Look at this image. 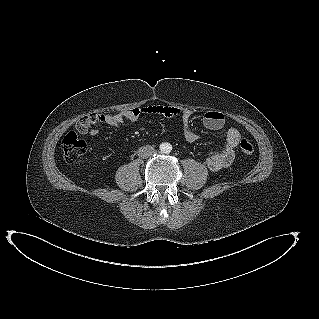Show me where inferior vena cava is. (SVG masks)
<instances>
[{
	"mask_svg": "<svg viewBox=\"0 0 319 319\" xmlns=\"http://www.w3.org/2000/svg\"><path fill=\"white\" fill-rule=\"evenodd\" d=\"M155 152L154 147L150 146V145H146V146H142L138 149V156L140 158H148L151 155H153V153Z\"/></svg>",
	"mask_w": 319,
	"mask_h": 319,
	"instance_id": "obj_1",
	"label": "inferior vena cava"
}]
</instances>
